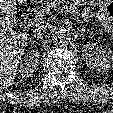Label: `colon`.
I'll use <instances>...</instances> for the list:
<instances>
[{
  "instance_id": "colon-1",
  "label": "colon",
  "mask_w": 113,
  "mask_h": 113,
  "mask_svg": "<svg viewBox=\"0 0 113 113\" xmlns=\"http://www.w3.org/2000/svg\"><path fill=\"white\" fill-rule=\"evenodd\" d=\"M101 12L109 21H113V2L104 3L101 7Z\"/></svg>"
}]
</instances>
